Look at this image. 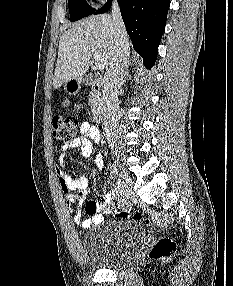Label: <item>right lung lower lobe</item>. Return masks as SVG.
<instances>
[{
  "label": "right lung lower lobe",
  "instance_id": "1",
  "mask_svg": "<svg viewBox=\"0 0 233 286\" xmlns=\"http://www.w3.org/2000/svg\"><path fill=\"white\" fill-rule=\"evenodd\" d=\"M117 2L133 47L143 57L144 65L150 69L156 61L170 0H117ZM111 4L112 0H107L101 9L92 14L107 12Z\"/></svg>",
  "mask_w": 233,
  "mask_h": 286
}]
</instances>
